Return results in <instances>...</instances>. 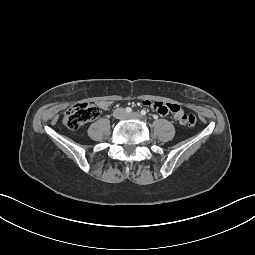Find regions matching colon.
Listing matches in <instances>:
<instances>
[{
	"instance_id": "colon-1",
	"label": "colon",
	"mask_w": 255,
	"mask_h": 255,
	"mask_svg": "<svg viewBox=\"0 0 255 255\" xmlns=\"http://www.w3.org/2000/svg\"><path fill=\"white\" fill-rule=\"evenodd\" d=\"M99 115L98 107L89 102H81L71 105L65 112L63 117L64 125L71 130H78L86 123L94 120ZM188 115V122L186 125L194 126L196 124V117L192 114Z\"/></svg>"
}]
</instances>
